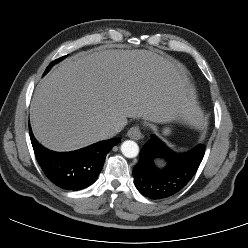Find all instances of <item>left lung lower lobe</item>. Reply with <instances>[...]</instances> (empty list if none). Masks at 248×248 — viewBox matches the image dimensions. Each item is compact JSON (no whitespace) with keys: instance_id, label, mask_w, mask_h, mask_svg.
<instances>
[{"instance_id":"1","label":"left lung lower lobe","mask_w":248,"mask_h":248,"mask_svg":"<svg viewBox=\"0 0 248 248\" xmlns=\"http://www.w3.org/2000/svg\"><path fill=\"white\" fill-rule=\"evenodd\" d=\"M204 154L203 144L183 152H173L155 135H151L133 169L134 184L147 198L158 200L170 197L192 179ZM158 159L166 162L164 168L156 167L155 161Z\"/></svg>"}]
</instances>
